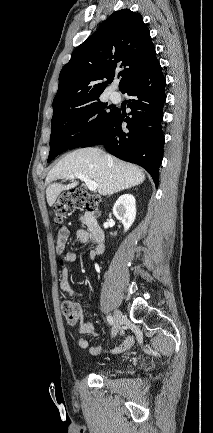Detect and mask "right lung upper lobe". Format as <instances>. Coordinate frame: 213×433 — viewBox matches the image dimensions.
Listing matches in <instances>:
<instances>
[{
	"mask_svg": "<svg viewBox=\"0 0 213 433\" xmlns=\"http://www.w3.org/2000/svg\"><path fill=\"white\" fill-rule=\"evenodd\" d=\"M155 58V47L142 16L129 9L114 12L75 49L62 68L53 116L69 106L99 97L119 68L121 91ZM104 78L106 82H102Z\"/></svg>",
	"mask_w": 213,
	"mask_h": 433,
	"instance_id": "cb5924a9",
	"label": "right lung upper lobe"
}]
</instances>
